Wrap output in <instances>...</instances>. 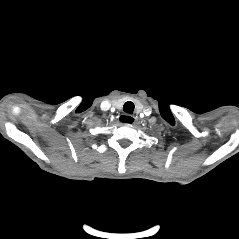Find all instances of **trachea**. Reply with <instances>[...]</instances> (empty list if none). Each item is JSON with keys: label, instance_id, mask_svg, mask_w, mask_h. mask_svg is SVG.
<instances>
[{"label": "trachea", "instance_id": "trachea-1", "mask_svg": "<svg viewBox=\"0 0 239 239\" xmlns=\"http://www.w3.org/2000/svg\"><path fill=\"white\" fill-rule=\"evenodd\" d=\"M134 108V103L131 101H127L123 106V111L129 114H133Z\"/></svg>", "mask_w": 239, "mask_h": 239}]
</instances>
